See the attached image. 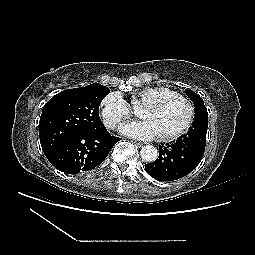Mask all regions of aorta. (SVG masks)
<instances>
[{
    "instance_id": "762f6f07",
    "label": "aorta",
    "mask_w": 255,
    "mask_h": 255,
    "mask_svg": "<svg viewBox=\"0 0 255 255\" xmlns=\"http://www.w3.org/2000/svg\"><path fill=\"white\" fill-rule=\"evenodd\" d=\"M140 155L144 161L154 162L158 157V150L153 145H147L142 147Z\"/></svg>"
}]
</instances>
